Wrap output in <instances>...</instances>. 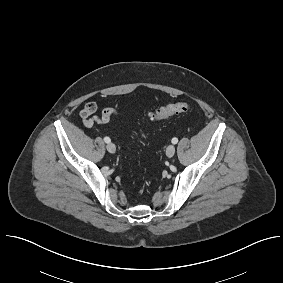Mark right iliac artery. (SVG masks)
Here are the masks:
<instances>
[{
    "instance_id": "82829eb1",
    "label": "right iliac artery",
    "mask_w": 283,
    "mask_h": 283,
    "mask_svg": "<svg viewBox=\"0 0 283 283\" xmlns=\"http://www.w3.org/2000/svg\"><path fill=\"white\" fill-rule=\"evenodd\" d=\"M104 141H105L106 143H110V142H111V139H110L109 137H104Z\"/></svg>"
}]
</instances>
